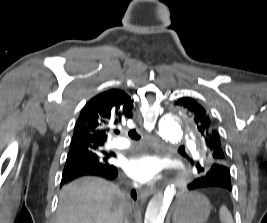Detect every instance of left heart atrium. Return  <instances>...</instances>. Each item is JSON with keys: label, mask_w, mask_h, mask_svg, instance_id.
<instances>
[{"label": "left heart atrium", "mask_w": 267, "mask_h": 223, "mask_svg": "<svg viewBox=\"0 0 267 223\" xmlns=\"http://www.w3.org/2000/svg\"><path fill=\"white\" fill-rule=\"evenodd\" d=\"M163 167L162 162L150 155H136L126 160L124 169L133 179L148 183L153 181Z\"/></svg>", "instance_id": "obj_1"}]
</instances>
